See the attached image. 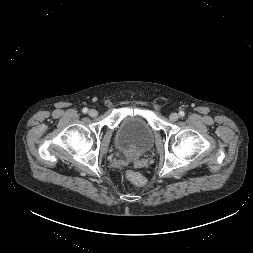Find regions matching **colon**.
Segmentation results:
<instances>
[{"instance_id": "1", "label": "colon", "mask_w": 253, "mask_h": 253, "mask_svg": "<svg viewBox=\"0 0 253 253\" xmlns=\"http://www.w3.org/2000/svg\"><path fill=\"white\" fill-rule=\"evenodd\" d=\"M125 176L129 181H131L132 183H134L136 185L141 186V185L145 184L144 177L135 171L128 170V171H126Z\"/></svg>"}]
</instances>
